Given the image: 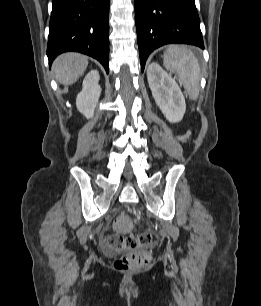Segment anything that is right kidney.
<instances>
[{"instance_id": "1", "label": "right kidney", "mask_w": 261, "mask_h": 306, "mask_svg": "<svg viewBox=\"0 0 261 306\" xmlns=\"http://www.w3.org/2000/svg\"><path fill=\"white\" fill-rule=\"evenodd\" d=\"M97 70L89 72L83 80L82 91L77 95L76 106L86 118H91L98 103L101 87Z\"/></svg>"}]
</instances>
